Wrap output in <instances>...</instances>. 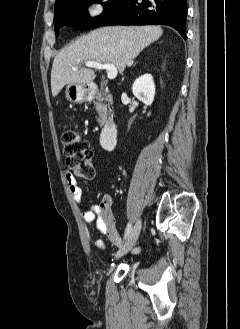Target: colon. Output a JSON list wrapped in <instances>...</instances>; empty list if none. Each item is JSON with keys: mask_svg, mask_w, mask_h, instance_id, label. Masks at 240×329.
Here are the masks:
<instances>
[{"mask_svg": "<svg viewBox=\"0 0 240 329\" xmlns=\"http://www.w3.org/2000/svg\"><path fill=\"white\" fill-rule=\"evenodd\" d=\"M62 142L67 164L74 173L80 178L92 179L95 175V170L89 142L72 129L64 131Z\"/></svg>", "mask_w": 240, "mask_h": 329, "instance_id": "1", "label": "colon"}]
</instances>
